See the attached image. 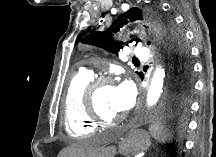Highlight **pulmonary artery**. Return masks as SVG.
<instances>
[{"label":"pulmonary artery","mask_w":216,"mask_h":157,"mask_svg":"<svg viewBox=\"0 0 216 157\" xmlns=\"http://www.w3.org/2000/svg\"><path fill=\"white\" fill-rule=\"evenodd\" d=\"M134 56L137 59L142 60V61H145L149 58V54H148L147 50L143 47H137L134 50ZM82 73L90 76L92 72L88 69H85V70H83Z\"/></svg>","instance_id":"e3ab8cb5"}]
</instances>
